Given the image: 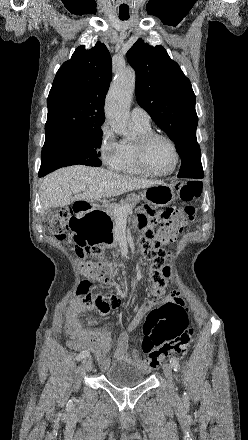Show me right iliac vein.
Listing matches in <instances>:
<instances>
[{
	"label": "right iliac vein",
	"instance_id": "63e3f726",
	"mask_svg": "<svg viewBox=\"0 0 248 440\" xmlns=\"http://www.w3.org/2000/svg\"><path fill=\"white\" fill-rule=\"evenodd\" d=\"M82 365L85 372H90L93 368L92 359L90 357L85 358Z\"/></svg>",
	"mask_w": 248,
	"mask_h": 440
}]
</instances>
